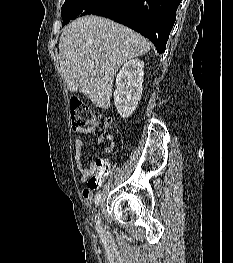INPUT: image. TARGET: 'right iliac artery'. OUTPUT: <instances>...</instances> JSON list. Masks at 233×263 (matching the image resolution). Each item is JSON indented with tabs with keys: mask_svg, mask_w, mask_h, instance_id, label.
Listing matches in <instances>:
<instances>
[{
	"mask_svg": "<svg viewBox=\"0 0 233 263\" xmlns=\"http://www.w3.org/2000/svg\"><path fill=\"white\" fill-rule=\"evenodd\" d=\"M101 195L100 193L95 195V205L98 206L99 201H100ZM96 225L99 227L100 226V220L99 218L96 220Z\"/></svg>",
	"mask_w": 233,
	"mask_h": 263,
	"instance_id": "right-iliac-artery-1",
	"label": "right iliac artery"
}]
</instances>
